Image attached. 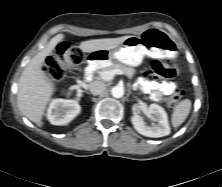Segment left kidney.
Here are the masks:
<instances>
[{"label":"left kidney","mask_w":222,"mask_h":187,"mask_svg":"<svg viewBox=\"0 0 222 187\" xmlns=\"http://www.w3.org/2000/svg\"><path fill=\"white\" fill-rule=\"evenodd\" d=\"M148 114L158 124L146 125L143 118L139 115H133L131 118L135 130L143 136L159 138L170 134V126L166 111L157 104H151Z\"/></svg>","instance_id":"obj_1"}]
</instances>
